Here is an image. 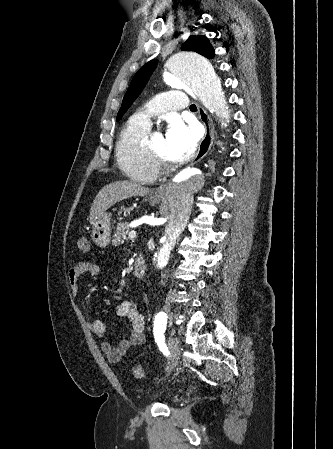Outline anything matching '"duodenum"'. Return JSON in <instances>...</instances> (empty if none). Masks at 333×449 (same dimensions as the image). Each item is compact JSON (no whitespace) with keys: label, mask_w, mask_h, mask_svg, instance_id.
<instances>
[{"label":"duodenum","mask_w":333,"mask_h":449,"mask_svg":"<svg viewBox=\"0 0 333 449\" xmlns=\"http://www.w3.org/2000/svg\"><path fill=\"white\" fill-rule=\"evenodd\" d=\"M146 271V263L143 258H137L133 264V273L136 277H142Z\"/></svg>","instance_id":"duodenum-1"}]
</instances>
